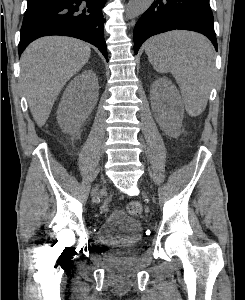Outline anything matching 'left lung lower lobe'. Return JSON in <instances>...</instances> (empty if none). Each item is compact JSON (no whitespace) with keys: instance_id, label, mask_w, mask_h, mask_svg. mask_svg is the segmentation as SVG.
Returning <instances> with one entry per match:
<instances>
[{"instance_id":"0a47b994","label":"left lung lower lobe","mask_w":245,"mask_h":300,"mask_svg":"<svg viewBox=\"0 0 245 300\" xmlns=\"http://www.w3.org/2000/svg\"><path fill=\"white\" fill-rule=\"evenodd\" d=\"M174 29L204 34L217 50L209 0H157L142 14L135 25V54L149 37Z\"/></svg>"}]
</instances>
